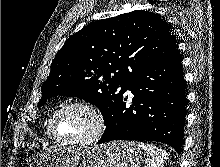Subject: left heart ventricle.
<instances>
[{
    "instance_id": "b2bd125f",
    "label": "left heart ventricle",
    "mask_w": 220,
    "mask_h": 167,
    "mask_svg": "<svg viewBox=\"0 0 220 167\" xmlns=\"http://www.w3.org/2000/svg\"><path fill=\"white\" fill-rule=\"evenodd\" d=\"M94 127L91 115L81 108H69L59 114L55 121V132L63 140L87 136Z\"/></svg>"
}]
</instances>
